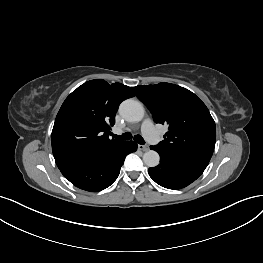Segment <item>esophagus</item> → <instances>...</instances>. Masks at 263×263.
Segmentation results:
<instances>
[{
    "mask_svg": "<svg viewBox=\"0 0 263 263\" xmlns=\"http://www.w3.org/2000/svg\"><path fill=\"white\" fill-rule=\"evenodd\" d=\"M138 150L145 152L149 150V147L145 145H138Z\"/></svg>",
    "mask_w": 263,
    "mask_h": 263,
    "instance_id": "esophagus-1",
    "label": "esophagus"
}]
</instances>
